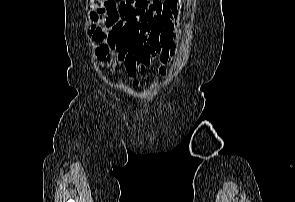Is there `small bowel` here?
<instances>
[{
  "label": "small bowel",
  "mask_w": 295,
  "mask_h": 202,
  "mask_svg": "<svg viewBox=\"0 0 295 202\" xmlns=\"http://www.w3.org/2000/svg\"><path fill=\"white\" fill-rule=\"evenodd\" d=\"M180 5L181 0H135L128 12L114 19L109 45L117 51V62L136 82L147 75L152 55L160 54L161 61H167L174 46L173 26L179 18ZM92 8L94 19L103 14L113 19L98 0H92ZM99 53L106 57L107 47Z\"/></svg>",
  "instance_id": "small-bowel-1"
}]
</instances>
